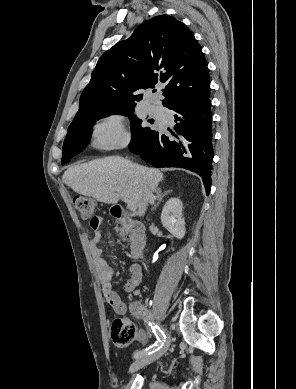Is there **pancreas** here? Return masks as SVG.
<instances>
[{"mask_svg": "<svg viewBox=\"0 0 296 389\" xmlns=\"http://www.w3.org/2000/svg\"><path fill=\"white\" fill-rule=\"evenodd\" d=\"M116 231H120L119 236L125 237L128 234V230L125 227L118 228L116 227Z\"/></svg>", "mask_w": 296, "mask_h": 389, "instance_id": "1", "label": "pancreas"}]
</instances>
